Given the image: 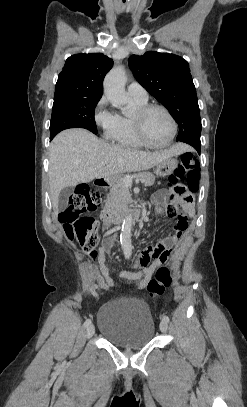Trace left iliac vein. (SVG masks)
I'll list each match as a JSON object with an SVG mask.
<instances>
[{"instance_id":"left-iliac-vein-1","label":"left iliac vein","mask_w":247,"mask_h":407,"mask_svg":"<svg viewBox=\"0 0 247 407\" xmlns=\"http://www.w3.org/2000/svg\"><path fill=\"white\" fill-rule=\"evenodd\" d=\"M160 330H161V332H163V333H166V332H167V330H168V323H167L166 321L162 320V321L160 322Z\"/></svg>"}]
</instances>
